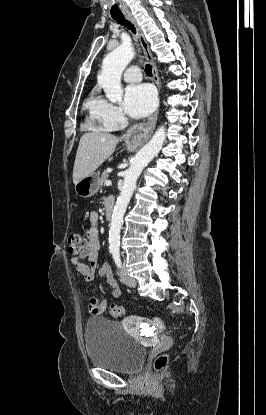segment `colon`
Masks as SVG:
<instances>
[{
	"mask_svg": "<svg viewBox=\"0 0 266 415\" xmlns=\"http://www.w3.org/2000/svg\"><path fill=\"white\" fill-rule=\"evenodd\" d=\"M68 244H69V252L72 254H77V253H80L87 246V240L81 233L73 232L68 237ZM108 311L112 316H115V317H120L125 312L123 306L119 304L110 305L108 308ZM151 325L156 330L161 331L165 329V325L163 321L160 320L159 318H153L151 320ZM167 361H168L167 355L165 354L159 355L154 360V364H153L154 369L156 371H160L161 369L165 367Z\"/></svg>",
	"mask_w": 266,
	"mask_h": 415,
	"instance_id": "colon-1",
	"label": "colon"
}]
</instances>
